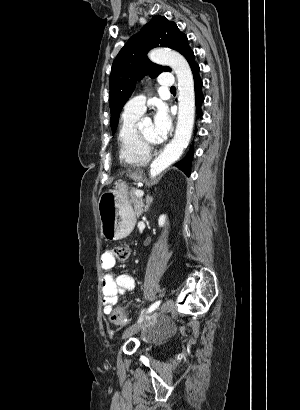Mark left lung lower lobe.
I'll return each instance as SVG.
<instances>
[{
  "label": "left lung lower lobe",
  "mask_w": 300,
  "mask_h": 410,
  "mask_svg": "<svg viewBox=\"0 0 300 410\" xmlns=\"http://www.w3.org/2000/svg\"><path fill=\"white\" fill-rule=\"evenodd\" d=\"M188 63L191 67L192 73H193V78H194V86H195V99H196V112H197V118L202 116V110H201V105L204 101V96L202 93V86L203 82L200 78L199 71L200 68L198 64L195 62L194 58V53H192L189 58H188ZM197 131V129H196ZM193 158V146L190 148L189 152L187 155L178 163L175 164L178 168H180L186 175H190V170H191V162Z\"/></svg>",
  "instance_id": "1"
}]
</instances>
